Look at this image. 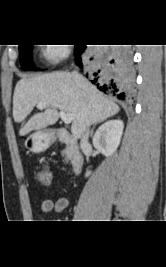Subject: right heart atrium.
<instances>
[{
  "label": "right heart atrium",
  "mask_w": 166,
  "mask_h": 267,
  "mask_svg": "<svg viewBox=\"0 0 166 267\" xmlns=\"http://www.w3.org/2000/svg\"><path fill=\"white\" fill-rule=\"evenodd\" d=\"M68 52V46L65 45L48 43L42 48V55L44 59L51 63L59 62L67 56Z\"/></svg>",
  "instance_id": "d8ad5b80"
}]
</instances>
